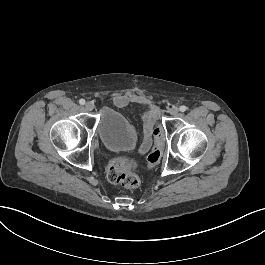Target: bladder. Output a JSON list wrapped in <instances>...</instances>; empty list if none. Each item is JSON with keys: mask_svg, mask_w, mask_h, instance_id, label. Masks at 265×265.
<instances>
[{"mask_svg": "<svg viewBox=\"0 0 265 265\" xmlns=\"http://www.w3.org/2000/svg\"><path fill=\"white\" fill-rule=\"evenodd\" d=\"M97 132L103 145L111 151L131 149L136 142V132L123 114L105 108L99 118Z\"/></svg>", "mask_w": 265, "mask_h": 265, "instance_id": "1", "label": "bladder"}]
</instances>
